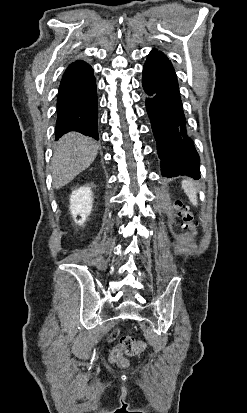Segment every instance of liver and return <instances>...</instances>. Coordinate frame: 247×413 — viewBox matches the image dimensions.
I'll return each instance as SVG.
<instances>
[{
    "label": "liver",
    "mask_w": 247,
    "mask_h": 413,
    "mask_svg": "<svg viewBox=\"0 0 247 413\" xmlns=\"http://www.w3.org/2000/svg\"><path fill=\"white\" fill-rule=\"evenodd\" d=\"M98 144L80 132H67L55 146L52 158L54 188H61L96 158Z\"/></svg>",
    "instance_id": "liver-1"
}]
</instances>
